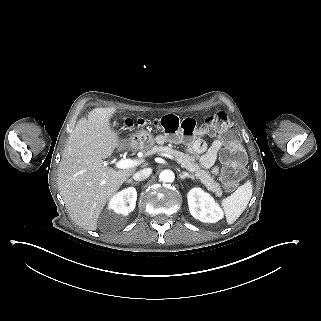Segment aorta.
Here are the masks:
<instances>
[{
	"label": "aorta",
	"mask_w": 321,
	"mask_h": 321,
	"mask_svg": "<svg viewBox=\"0 0 321 321\" xmlns=\"http://www.w3.org/2000/svg\"><path fill=\"white\" fill-rule=\"evenodd\" d=\"M159 178L163 182H173L174 181V173L170 170H164L160 173Z\"/></svg>",
	"instance_id": "aorta-1"
}]
</instances>
